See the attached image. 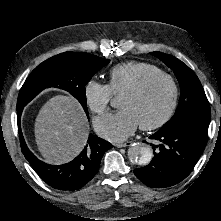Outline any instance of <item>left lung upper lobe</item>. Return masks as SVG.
Masks as SVG:
<instances>
[{"label":"left lung upper lobe","instance_id":"5c2ea615","mask_svg":"<svg viewBox=\"0 0 221 221\" xmlns=\"http://www.w3.org/2000/svg\"><path fill=\"white\" fill-rule=\"evenodd\" d=\"M151 54L173 69L181 88L180 100L174 116L159 131L172 132L187 125L208 129L211 118L210 106L194 71L171 55L161 52H151Z\"/></svg>","mask_w":221,"mask_h":221}]
</instances>
